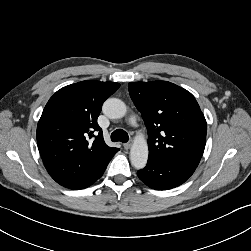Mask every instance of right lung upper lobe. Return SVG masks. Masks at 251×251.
<instances>
[{"label":"right lung upper lobe","mask_w":251,"mask_h":251,"mask_svg":"<svg viewBox=\"0 0 251 251\" xmlns=\"http://www.w3.org/2000/svg\"><path fill=\"white\" fill-rule=\"evenodd\" d=\"M119 83L82 81L58 90L37 125V144L44 165L58 183L86 179L119 150L106 145L97 123L103 102ZM98 135L92 143L88 139Z\"/></svg>","instance_id":"right-lung-upper-lobe-1"}]
</instances>
